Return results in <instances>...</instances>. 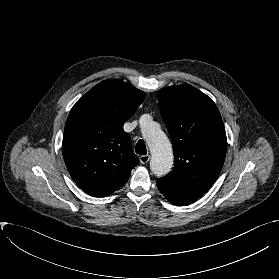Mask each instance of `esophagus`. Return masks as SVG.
Returning a JSON list of instances; mask_svg holds the SVG:
<instances>
[{
  "mask_svg": "<svg viewBox=\"0 0 279 279\" xmlns=\"http://www.w3.org/2000/svg\"><path fill=\"white\" fill-rule=\"evenodd\" d=\"M139 159H140V162H141L142 164H146V163H148L149 160H150V155H148V154L142 155V156H140Z\"/></svg>",
  "mask_w": 279,
  "mask_h": 279,
  "instance_id": "obj_1",
  "label": "esophagus"
}]
</instances>
